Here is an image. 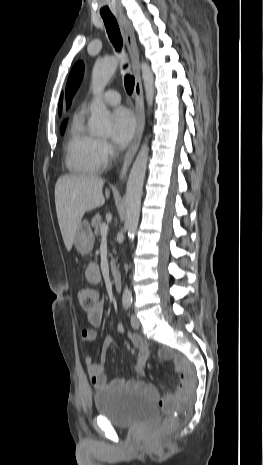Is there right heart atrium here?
<instances>
[{"mask_svg":"<svg viewBox=\"0 0 263 465\" xmlns=\"http://www.w3.org/2000/svg\"><path fill=\"white\" fill-rule=\"evenodd\" d=\"M99 154L105 162L111 158L113 154V147L107 140H99Z\"/></svg>","mask_w":263,"mask_h":465,"instance_id":"right-heart-atrium-1","label":"right heart atrium"}]
</instances>
